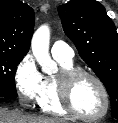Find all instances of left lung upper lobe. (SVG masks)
Returning a JSON list of instances; mask_svg holds the SVG:
<instances>
[{
	"instance_id": "left-lung-upper-lobe-1",
	"label": "left lung upper lobe",
	"mask_w": 118,
	"mask_h": 123,
	"mask_svg": "<svg viewBox=\"0 0 118 123\" xmlns=\"http://www.w3.org/2000/svg\"><path fill=\"white\" fill-rule=\"evenodd\" d=\"M58 13L64 32L106 87L112 117L118 119V33L113 21L96 0H71Z\"/></svg>"
}]
</instances>
